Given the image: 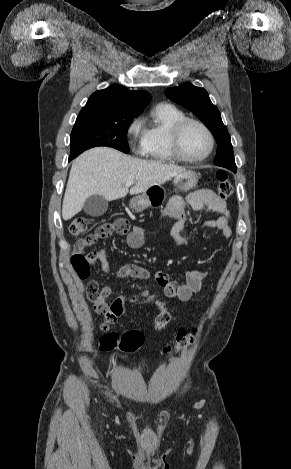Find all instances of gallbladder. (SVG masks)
Instances as JSON below:
<instances>
[{
    "label": "gallbladder",
    "mask_w": 291,
    "mask_h": 469,
    "mask_svg": "<svg viewBox=\"0 0 291 469\" xmlns=\"http://www.w3.org/2000/svg\"><path fill=\"white\" fill-rule=\"evenodd\" d=\"M108 209V201L101 195H91L84 203L83 210L86 214L99 217L102 216Z\"/></svg>",
    "instance_id": "obj_1"
}]
</instances>
